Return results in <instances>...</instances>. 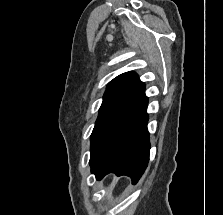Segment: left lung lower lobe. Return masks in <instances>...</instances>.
Wrapping results in <instances>:
<instances>
[{"label":"left lung lower lobe","instance_id":"obj_1","mask_svg":"<svg viewBox=\"0 0 223 215\" xmlns=\"http://www.w3.org/2000/svg\"><path fill=\"white\" fill-rule=\"evenodd\" d=\"M148 98L139 101L110 131L95 156L91 172L98 180L108 173L127 175L136 184L149 161Z\"/></svg>","mask_w":223,"mask_h":215}]
</instances>
